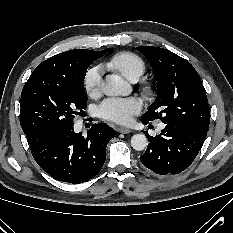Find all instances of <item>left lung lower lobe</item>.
Wrapping results in <instances>:
<instances>
[{
  "label": "left lung lower lobe",
  "instance_id": "left-lung-lower-lobe-1",
  "mask_svg": "<svg viewBox=\"0 0 233 233\" xmlns=\"http://www.w3.org/2000/svg\"><path fill=\"white\" fill-rule=\"evenodd\" d=\"M207 132L189 124H166L155 137L146 132L150 143L140 156L141 162L147 169L159 175L182 172L197 156Z\"/></svg>",
  "mask_w": 233,
  "mask_h": 233
}]
</instances>
